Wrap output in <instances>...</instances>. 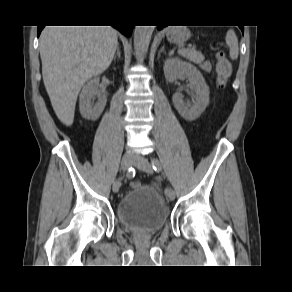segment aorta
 <instances>
[{"instance_id": "aorta-1", "label": "aorta", "mask_w": 292, "mask_h": 292, "mask_svg": "<svg viewBox=\"0 0 292 292\" xmlns=\"http://www.w3.org/2000/svg\"><path fill=\"white\" fill-rule=\"evenodd\" d=\"M154 26H136L134 29V47L137 55H144L149 47Z\"/></svg>"}]
</instances>
